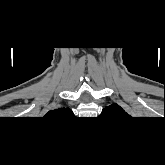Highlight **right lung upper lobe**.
Instances as JSON below:
<instances>
[{
    "label": "right lung upper lobe",
    "instance_id": "obj_1",
    "mask_svg": "<svg viewBox=\"0 0 165 165\" xmlns=\"http://www.w3.org/2000/svg\"><path fill=\"white\" fill-rule=\"evenodd\" d=\"M73 112L71 109L62 107L55 110H50L45 117H51V118H65L67 116H72Z\"/></svg>",
    "mask_w": 165,
    "mask_h": 165
}]
</instances>
